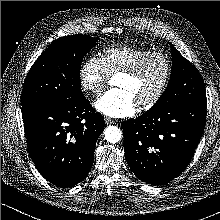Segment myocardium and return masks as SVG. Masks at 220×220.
Instances as JSON below:
<instances>
[{
  "instance_id": "f54148a6",
  "label": "myocardium",
  "mask_w": 220,
  "mask_h": 220,
  "mask_svg": "<svg viewBox=\"0 0 220 220\" xmlns=\"http://www.w3.org/2000/svg\"><path fill=\"white\" fill-rule=\"evenodd\" d=\"M152 58H159L163 61L165 65V74L160 86L155 91V93L150 98L138 103V105L144 109L151 108L152 106H154L162 98L169 85L172 75V64L169 57L164 53L152 51L143 55L130 67L119 73V76L135 77L139 74V72L142 70L145 64Z\"/></svg>"
}]
</instances>
